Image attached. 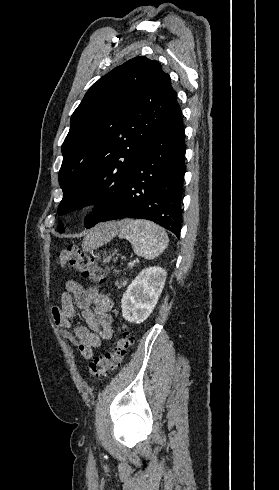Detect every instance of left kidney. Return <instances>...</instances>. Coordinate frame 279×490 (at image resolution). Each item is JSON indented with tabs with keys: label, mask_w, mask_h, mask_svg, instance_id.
Wrapping results in <instances>:
<instances>
[{
	"label": "left kidney",
	"mask_w": 279,
	"mask_h": 490,
	"mask_svg": "<svg viewBox=\"0 0 279 490\" xmlns=\"http://www.w3.org/2000/svg\"><path fill=\"white\" fill-rule=\"evenodd\" d=\"M163 268H145L128 286L121 300L122 316L126 322L142 324L154 310L166 282Z\"/></svg>",
	"instance_id": "5707ae66"
}]
</instances>
